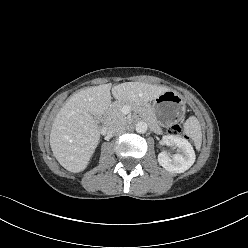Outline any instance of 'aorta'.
Here are the masks:
<instances>
[{
	"instance_id": "obj_1",
	"label": "aorta",
	"mask_w": 248,
	"mask_h": 248,
	"mask_svg": "<svg viewBox=\"0 0 248 248\" xmlns=\"http://www.w3.org/2000/svg\"><path fill=\"white\" fill-rule=\"evenodd\" d=\"M135 129H136V132L137 133L144 134V133L147 132V129H148L147 123H145V122H138L135 125Z\"/></svg>"
}]
</instances>
